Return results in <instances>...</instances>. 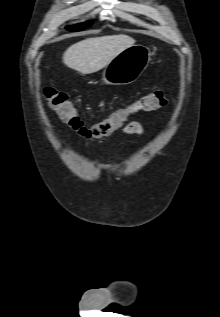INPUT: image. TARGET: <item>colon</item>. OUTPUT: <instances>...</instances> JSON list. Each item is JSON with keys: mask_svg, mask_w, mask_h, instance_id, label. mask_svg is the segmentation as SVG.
Returning <instances> with one entry per match:
<instances>
[{"mask_svg": "<svg viewBox=\"0 0 220 317\" xmlns=\"http://www.w3.org/2000/svg\"><path fill=\"white\" fill-rule=\"evenodd\" d=\"M45 97L50 107L72 130L78 133L90 130L96 136L109 135L127 124L132 115L140 112L155 111L165 106L168 102L166 93L157 90L140 97L126 108L116 110L96 124L87 126L65 93L50 89L46 91Z\"/></svg>", "mask_w": 220, "mask_h": 317, "instance_id": "obj_1", "label": "colon"}]
</instances>
